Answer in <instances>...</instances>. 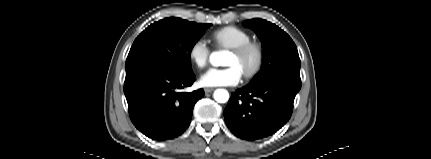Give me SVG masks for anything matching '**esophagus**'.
Wrapping results in <instances>:
<instances>
[{
  "instance_id": "obj_1",
  "label": "esophagus",
  "mask_w": 431,
  "mask_h": 159,
  "mask_svg": "<svg viewBox=\"0 0 431 159\" xmlns=\"http://www.w3.org/2000/svg\"><path fill=\"white\" fill-rule=\"evenodd\" d=\"M214 90V88H204L205 93H211Z\"/></svg>"
}]
</instances>
